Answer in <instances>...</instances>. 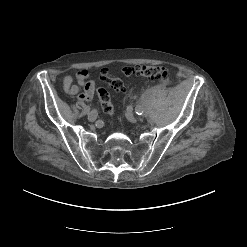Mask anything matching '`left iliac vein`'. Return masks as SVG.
<instances>
[{"instance_id":"obj_1","label":"left iliac vein","mask_w":247,"mask_h":247,"mask_svg":"<svg viewBox=\"0 0 247 247\" xmlns=\"http://www.w3.org/2000/svg\"><path fill=\"white\" fill-rule=\"evenodd\" d=\"M126 116H127V119L129 121H131V122H136L137 121L136 117L134 116V114L131 111H128Z\"/></svg>"}]
</instances>
